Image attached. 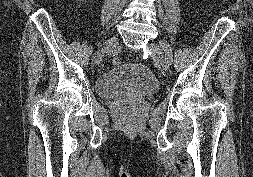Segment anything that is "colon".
Returning a JSON list of instances; mask_svg holds the SVG:
<instances>
[{
    "mask_svg": "<svg viewBox=\"0 0 253 177\" xmlns=\"http://www.w3.org/2000/svg\"><path fill=\"white\" fill-rule=\"evenodd\" d=\"M112 63H113L114 65H119V64H121V59H120L119 57H114V58L112 59Z\"/></svg>",
    "mask_w": 253,
    "mask_h": 177,
    "instance_id": "colon-1",
    "label": "colon"
}]
</instances>
